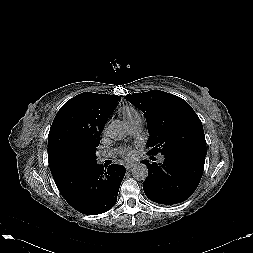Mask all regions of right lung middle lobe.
Here are the masks:
<instances>
[{
    "label": "right lung middle lobe",
    "mask_w": 253,
    "mask_h": 253,
    "mask_svg": "<svg viewBox=\"0 0 253 253\" xmlns=\"http://www.w3.org/2000/svg\"><path fill=\"white\" fill-rule=\"evenodd\" d=\"M96 148H93L87 152H75L69 155L67 165L74 169L82 167L86 164L96 162Z\"/></svg>",
    "instance_id": "dd1d6c3e"
}]
</instances>
